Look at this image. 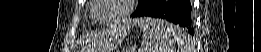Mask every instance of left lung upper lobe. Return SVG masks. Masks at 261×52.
<instances>
[{
  "instance_id": "left-lung-upper-lobe-1",
  "label": "left lung upper lobe",
  "mask_w": 261,
  "mask_h": 52,
  "mask_svg": "<svg viewBox=\"0 0 261 52\" xmlns=\"http://www.w3.org/2000/svg\"><path fill=\"white\" fill-rule=\"evenodd\" d=\"M152 1L153 0H139V7L135 13L141 11L143 8H145L147 5H149Z\"/></svg>"
}]
</instances>
